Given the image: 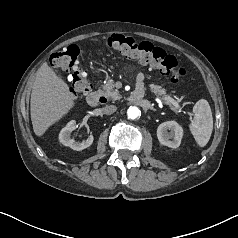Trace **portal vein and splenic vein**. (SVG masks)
<instances>
[{
  "mask_svg": "<svg viewBox=\"0 0 238 238\" xmlns=\"http://www.w3.org/2000/svg\"><path fill=\"white\" fill-rule=\"evenodd\" d=\"M164 100H166L168 103L172 104L175 107H179L178 103L171 97H165L163 98ZM178 112H180V109L178 110ZM191 115V113H189Z\"/></svg>",
  "mask_w": 238,
  "mask_h": 238,
  "instance_id": "obj_1",
  "label": "portal vein and splenic vein"
}]
</instances>
